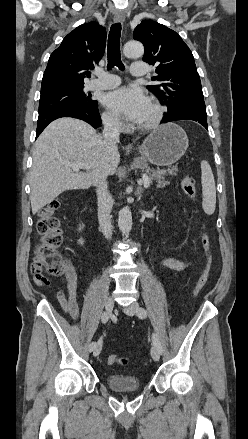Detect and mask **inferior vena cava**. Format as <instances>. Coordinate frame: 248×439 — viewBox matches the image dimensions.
Returning <instances> with one entry per match:
<instances>
[{
    "label": "inferior vena cava",
    "instance_id": "602c4592",
    "mask_svg": "<svg viewBox=\"0 0 248 439\" xmlns=\"http://www.w3.org/2000/svg\"><path fill=\"white\" fill-rule=\"evenodd\" d=\"M103 139L108 144H116L119 142L120 135V121L116 117H105L103 120ZM107 175H104L96 182V193L98 200V219L100 229L107 239L112 237V225H111V209L112 201L111 195L108 190Z\"/></svg>",
    "mask_w": 248,
    "mask_h": 439
}]
</instances>
